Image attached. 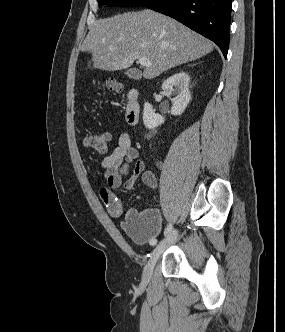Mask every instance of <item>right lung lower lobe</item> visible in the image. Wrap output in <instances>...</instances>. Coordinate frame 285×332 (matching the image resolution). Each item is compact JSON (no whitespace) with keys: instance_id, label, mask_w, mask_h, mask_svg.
<instances>
[{"instance_id":"right-lung-lower-lobe-1","label":"right lung lower lobe","mask_w":285,"mask_h":332,"mask_svg":"<svg viewBox=\"0 0 285 332\" xmlns=\"http://www.w3.org/2000/svg\"><path fill=\"white\" fill-rule=\"evenodd\" d=\"M232 0H152L146 7L175 18L215 42L226 58Z\"/></svg>"}]
</instances>
